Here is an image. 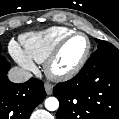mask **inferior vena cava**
Listing matches in <instances>:
<instances>
[{"mask_svg":"<svg viewBox=\"0 0 119 119\" xmlns=\"http://www.w3.org/2000/svg\"><path fill=\"white\" fill-rule=\"evenodd\" d=\"M32 76L29 71L19 67H13L8 73L9 80L14 83H23L32 78Z\"/></svg>","mask_w":119,"mask_h":119,"instance_id":"1","label":"inferior vena cava"}]
</instances>
